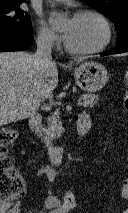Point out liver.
Returning <instances> with one entry per match:
<instances>
[{
    "instance_id": "1",
    "label": "liver",
    "mask_w": 128,
    "mask_h": 213,
    "mask_svg": "<svg viewBox=\"0 0 128 213\" xmlns=\"http://www.w3.org/2000/svg\"><path fill=\"white\" fill-rule=\"evenodd\" d=\"M57 84L55 63L43 74L31 54L0 53V126L33 116Z\"/></svg>"
}]
</instances>
